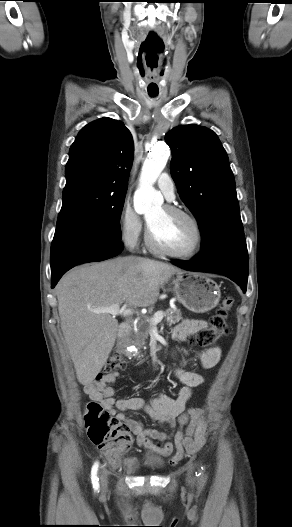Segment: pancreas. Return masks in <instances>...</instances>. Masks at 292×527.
Listing matches in <instances>:
<instances>
[{"instance_id":"1","label":"pancreas","mask_w":292,"mask_h":527,"mask_svg":"<svg viewBox=\"0 0 292 527\" xmlns=\"http://www.w3.org/2000/svg\"><path fill=\"white\" fill-rule=\"evenodd\" d=\"M163 313H164V315L166 317V321H167V323L169 325L176 324L182 319L181 311L179 309H176V308H168ZM153 317L154 316H152L151 318H147L145 320H140L136 324L137 330L133 334H131V338L134 339L133 343L141 344V345H143L145 343V340L148 338L149 333H150L151 328H152L151 319Z\"/></svg>"}]
</instances>
